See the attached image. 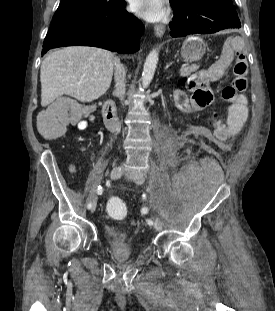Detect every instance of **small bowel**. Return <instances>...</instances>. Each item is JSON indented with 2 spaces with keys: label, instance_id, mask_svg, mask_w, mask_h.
<instances>
[{
  "label": "small bowel",
  "instance_id": "1",
  "mask_svg": "<svg viewBox=\"0 0 275 311\" xmlns=\"http://www.w3.org/2000/svg\"><path fill=\"white\" fill-rule=\"evenodd\" d=\"M225 51L220 60H212L209 69H199V73H192L191 79L186 81V91L191 93L189 100L186 94L178 90L175 97L185 111L199 112L203 108H210L214 102L213 92L211 91L212 80H224V72L229 71V67H233V57H246L247 51L242 50L241 38L236 37L226 42ZM194 99V101H193ZM247 98L244 94L239 93L232 101L228 109V117L226 122L223 121V115L217 110L208 112V127L213 129L212 143H230L231 139H235V133H242L244 121L247 118ZM98 118V114H89L86 118L79 120L76 127L79 130H87L90 124L94 123ZM72 165V162H69ZM73 174L82 171V164L72 165Z\"/></svg>",
  "mask_w": 275,
  "mask_h": 311
}]
</instances>
